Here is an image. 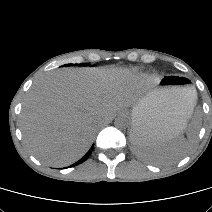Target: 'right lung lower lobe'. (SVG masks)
Instances as JSON below:
<instances>
[{
	"instance_id": "right-lung-lower-lobe-1",
	"label": "right lung lower lobe",
	"mask_w": 212,
	"mask_h": 212,
	"mask_svg": "<svg viewBox=\"0 0 212 212\" xmlns=\"http://www.w3.org/2000/svg\"><path fill=\"white\" fill-rule=\"evenodd\" d=\"M92 150H93V146L90 148V150L86 153V155H85L83 158H81L78 162L74 163V164H73L72 166H70V167L76 166V165H78V164L84 162V161L89 157V155L91 154Z\"/></svg>"
}]
</instances>
